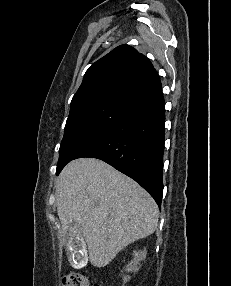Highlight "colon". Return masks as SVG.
Listing matches in <instances>:
<instances>
[{
  "mask_svg": "<svg viewBox=\"0 0 231 286\" xmlns=\"http://www.w3.org/2000/svg\"><path fill=\"white\" fill-rule=\"evenodd\" d=\"M62 282L63 286H90L87 277L79 272H71L65 275Z\"/></svg>",
  "mask_w": 231,
  "mask_h": 286,
  "instance_id": "5ec220e1",
  "label": "colon"
}]
</instances>
